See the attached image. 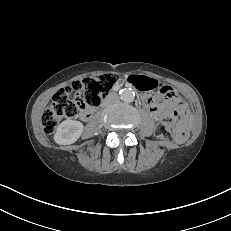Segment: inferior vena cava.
Returning <instances> with one entry per match:
<instances>
[{"instance_id":"602c4592","label":"inferior vena cava","mask_w":231,"mask_h":231,"mask_svg":"<svg viewBox=\"0 0 231 231\" xmlns=\"http://www.w3.org/2000/svg\"><path fill=\"white\" fill-rule=\"evenodd\" d=\"M118 100V96L115 93H111L107 97V103L111 104Z\"/></svg>"}]
</instances>
